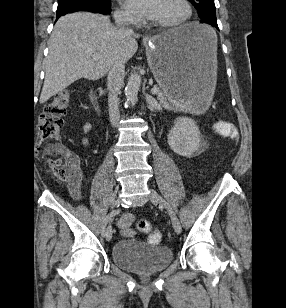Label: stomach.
I'll list each match as a JSON object with an SVG mask.
<instances>
[{"instance_id": "stomach-1", "label": "stomach", "mask_w": 286, "mask_h": 308, "mask_svg": "<svg viewBox=\"0 0 286 308\" xmlns=\"http://www.w3.org/2000/svg\"><path fill=\"white\" fill-rule=\"evenodd\" d=\"M148 64L178 107H207L217 75V35L208 25L189 23L145 43Z\"/></svg>"}]
</instances>
